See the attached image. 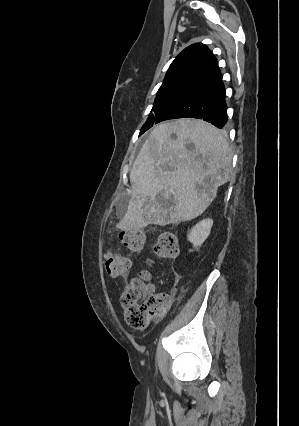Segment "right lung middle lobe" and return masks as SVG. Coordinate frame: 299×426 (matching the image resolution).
Masks as SVG:
<instances>
[{
	"label": "right lung middle lobe",
	"mask_w": 299,
	"mask_h": 426,
	"mask_svg": "<svg viewBox=\"0 0 299 426\" xmlns=\"http://www.w3.org/2000/svg\"><path fill=\"white\" fill-rule=\"evenodd\" d=\"M196 88L189 84H168L161 85L159 88L156 99L149 115V118L140 130V135L148 130L153 124L158 123L162 114L176 101L184 95Z\"/></svg>",
	"instance_id": "obj_1"
}]
</instances>
